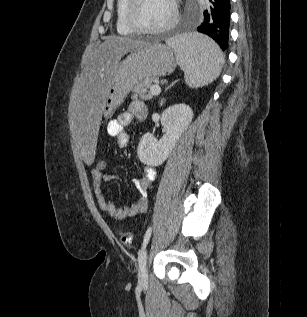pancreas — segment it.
Here are the masks:
<instances>
[{"label":"pancreas","instance_id":"1","mask_svg":"<svg viewBox=\"0 0 307 317\" xmlns=\"http://www.w3.org/2000/svg\"><path fill=\"white\" fill-rule=\"evenodd\" d=\"M152 86V79H144L143 81L139 82L133 88V94L131 96L132 99H143L149 100L152 98V94L149 93V89Z\"/></svg>","mask_w":307,"mask_h":317}]
</instances>
